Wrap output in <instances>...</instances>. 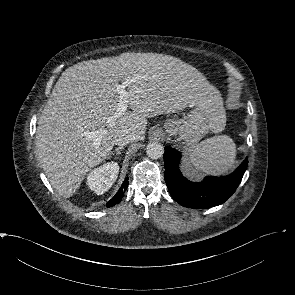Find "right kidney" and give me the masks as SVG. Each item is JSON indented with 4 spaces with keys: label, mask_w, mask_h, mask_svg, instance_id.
I'll return each instance as SVG.
<instances>
[{
    "label": "right kidney",
    "mask_w": 295,
    "mask_h": 295,
    "mask_svg": "<svg viewBox=\"0 0 295 295\" xmlns=\"http://www.w3.org/2000/svg\"><path fill=\"white\" fill-rule=\"evenodd\" d=\"M119 172L117 162H108L92 170L87 176V185L97 195L107 192L116 181Z\"/></svg>",
    "instance_id": "1"
}]
</instances>
